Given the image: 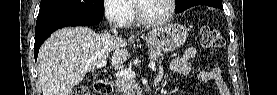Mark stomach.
<instances>
[{
  "label": "stomach",
  "instance_id": "1",
  "mask_svg": "<svg viewBox=\"0 0 277 95\" xmlns=\"http://www.w3.org/2000/svg\"><path fill=\"white\" fill-rule=\"evenodd\" d=\"M188 36L187 30L180 24H168L150 30L145 39L155 49L174 51L180 48Z\"/></svg>",
  "mask_w": 277,
  "mask_h": 95
}]
</instances>
